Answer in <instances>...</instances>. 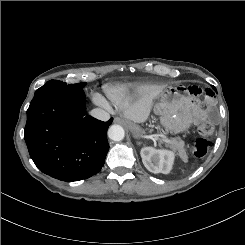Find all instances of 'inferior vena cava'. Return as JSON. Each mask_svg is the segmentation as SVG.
Masks as SVG:
<instances>
[{
    "label": "inferior vena cava",
    "mask_w": 245,
    "mask_h": 245,
    "mask_svg": "<svg viewBox=\"0 0 245 245\" xmlns=\"http://www.w3.org/2000/svg\"><path fill=\"white\" fill-rule=\"evenodd\" d=\"M90 114L94 118H97L101 121H108L110 119L109 113H107L106 111L99 109V108H95V109L91 110Z\"/></svg>",
    "instance_id": "1"
}]
</instances>
